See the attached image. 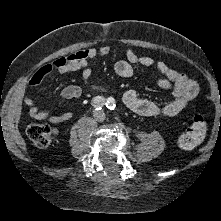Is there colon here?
I'll list each match as a JSON object with an SVG mask.
<instances>
[{"label":"colon","instance_id":"obj_1","mask_svg":"<svg viewBox=\"0 0 221 221\" xmlns=\"http://www.w3.org/2000/svg\"><path fill=\"white\" fill-rule=\"evenodd\" d=\"M206 121L202 115H196L190 126L185 129L177 140L180 149H192L203 140L206 133ZM27 136L32 143L40 148L48 147L56 136V130L46 124H32L27 128Z\"/></svg>","mask_w":221,"mask_h":221}]
</instances>
